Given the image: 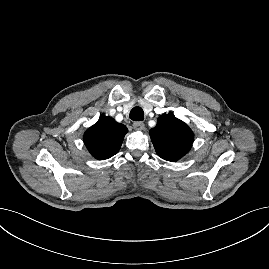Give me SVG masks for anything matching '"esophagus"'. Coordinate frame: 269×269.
Masks as SVG:
<instances>
[{
  "mask_svg": "<svg viewBox=\"0 0 269 269\" xmlns=\"http://www.w3.org/2000/svg\"><path fill=\"white\" fill-rule=\"evenodd\" d=\"M133 128L137 131H142L145 128V124L143 122H134Z\"/></svg>",
  "mask_w": 269,
  "mask_h": 269,
  "instance_id": "1",
  "label": "esophagus"
}]
</instances>
